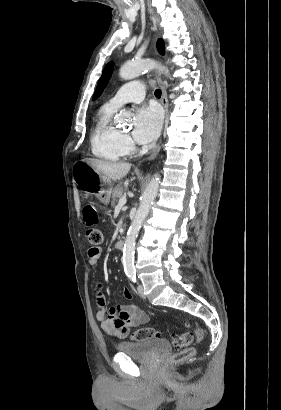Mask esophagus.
<instances>
[{
    "mask_svg": "<svg viewBox=\"0 0 281 410\" xmlns=\"http://www.w3.org/2000/svg\"><path fill=\"white\" fill-rule=\"evenodd\" d=\"M156 80L161 88L162 91V96H161V103L164 107L165 110V114H166V118L168 116V99H167V92H166V88L165 85L161 79V77L159 75H156ZM161 143H159L152 151V153L150 154V156L147 158V160H153L156 158V156L158 155L160 148H161Z\"/></svg>",
    "mask_w": 281,
    "mask_h": 410,
    "instance_id": "1",
    "label": "esophagus"
}]
</instances>
